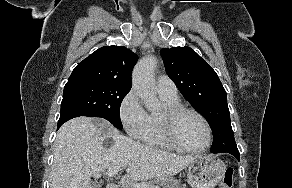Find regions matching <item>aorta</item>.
Listing matches in <instances>:
<instances>
[{
    "label": "aorta",
    "mask_w": 292,
    "mask_h": 188,
    "mask_svg": "<svg viewBox=\"0 0 292 188\" xmlns=\"http://www.w3.org/2000/svg\"><path fill=\"white\" fill-rule=\"evenodd\" d=\"M156 64L157 60L154 56L143 57L136 64L132 75L133 88L150 111H157L161 107L156 96L153 76Z\"/></svg>",
    "instance_id": "1"
}]
</instances>
